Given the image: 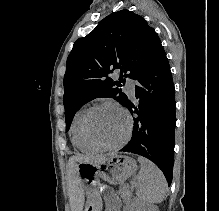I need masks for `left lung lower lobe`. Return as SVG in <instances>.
<instances>
[{
  "label": "left lung lower lobe",
  "instance_id": "0a47b994",
  "mask_svg": "<svg viewBox=\"0 0 219 211\" xmlns=\"http://www.w3.org/2000/svg\"><path fill=\"white\" fill-rule=\"evenodd\" d=\"M134 80L136 102L123 104L133 118L132 138L120 151L131 152L153 161L172 181L175 138V90L166 53L164 52Z\"/></svg>",
  "mask_w": 219,
  "mask_h": 211
}]
</instances>
